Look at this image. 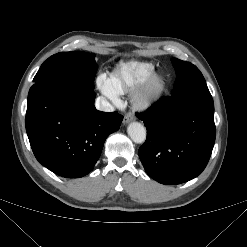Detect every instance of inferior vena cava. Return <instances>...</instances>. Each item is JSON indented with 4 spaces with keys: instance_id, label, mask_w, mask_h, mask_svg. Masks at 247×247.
<instances>
[{
    "instance_id": "1",
    "label": "inferior vena cava",
    "mask_w": 247,
    "mask_h": 247,
    "mask_svg": "<svg viewBox=\"0 0 247 247\" xmlns=\"http://www.w3.org/2000/svg\"><path fill=\"white\" fill-rule=\"evenodd\" d=\"M95 107L98 110L105 111V112L114 111V107L103 96H100L96 99Z\"/></svg>"
}]
</instances>
